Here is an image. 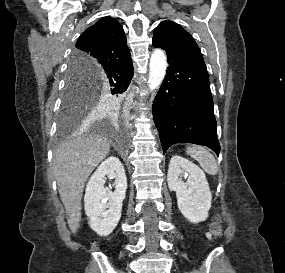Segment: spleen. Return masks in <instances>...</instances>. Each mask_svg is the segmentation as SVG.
<instances>
[{
	"label": "spleen",
	"mask_w": 285,
	"mask_h": 273,
	"mask_svg": "<svg viewBox=\"0 0 285 273\" xmlns=\"http://www.w3.org/2000/svg\"><path fill=\"white\" fill-rule=\"evenodd\" d=\"M187 154L194 158L210 175H216L218 172L217 163L214 156L202 146L193 145L186 150Z\"/></svg>",
	"instance_id": "1"
}]
</instances>
